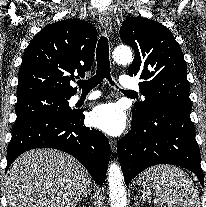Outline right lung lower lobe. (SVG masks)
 Here are the masks:
<instances>
[{"label":"right lung lower lobe","mask_w":206,"mask_h":207,"mask_svg":"<svg viewBox=\"0 0 206 207\" xmlns=\"http://www.w3.org/2000/svg\"><path fill=\"white\" fill-rule=\"evenodd\" d=\"M81 110L62 116L39 117L12 127L7 167L23 152L35 148H54L78 159L98 184H103L110 159L107 138L84 125Z\"/></svg>","instance_id":"98d812e1"}]
</instances>
